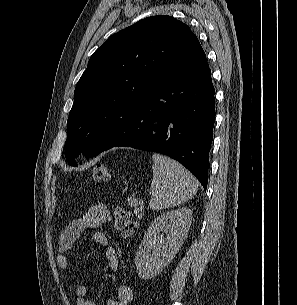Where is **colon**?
<instances>
[{
    "label": "colon",
    "mask_w": 297,
    "mask_h": 305,
    "mask_svg": "<svg viewBox=\"0 0 297 305\" xmlns=\"http://www.w3.org/2000/svg\"><path fill=\"white\" fill-rule=\"evenodd\" d=\"M92 179L96 183H106L110 179L108 168L105 164H97L92 171ZM114 222L116 229L125 237H132L136 230V224L129 211L115 208Z\"/></svg>",
    "instance_id": "1"
}]
</instances>
